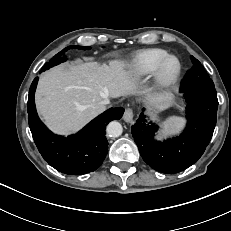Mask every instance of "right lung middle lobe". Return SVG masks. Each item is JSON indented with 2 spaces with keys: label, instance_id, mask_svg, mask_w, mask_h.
<instances>
[{
  "label": "right lung middle lobe",
  "instance_id": "right-lung-middle-lobe-1",
  "mask_svg": "<svg viewBox=\"0 0 231 231\" xmlns=\"http://www.w3.org/2000/svg\"><path fill=\"white\" fill-rule=\"evenodd\" d=\"M75 48L83 49V50H89V49H91L90 46H87V47H81V46H68V47L64 48L61 52H59L58 54H56L48 63H46V64L42 67L40 73L43 72V71H45V70H47V69H49L50 67H53V66H55V65H57V64H59V63L65 61V60H66V58H65V56H64L65 53H66L69 49H75Z\"/></svg>",
  "mask_w": 231,
  "mask_h": 231
}]
</instances>
